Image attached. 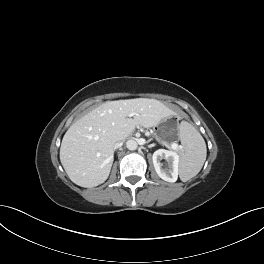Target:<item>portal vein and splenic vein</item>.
<instances>
[{
  "label": "portal vein and splenic vein",
  "mask_w": 264,
  "mask_h": 264,
  "mask_svg": "<svg viewBox=\"0 0 264 264\" xmlns=\"http://www.w3.org/2000/svg\"><path fill=\"white\" fill-rule=\"evenodd\" d=\"M170 146H171L172 149H177L178 148V145L176 143H172Z\"/></svg>",
  "instance_id": "portal-vein-and-splenic-vein-1"
}]
</instances>
